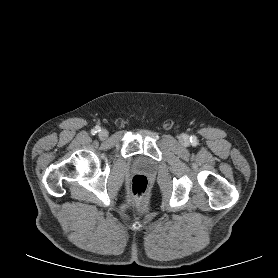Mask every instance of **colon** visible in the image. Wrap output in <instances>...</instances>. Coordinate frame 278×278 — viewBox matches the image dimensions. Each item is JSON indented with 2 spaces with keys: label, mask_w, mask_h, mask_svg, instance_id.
Instances as JSON below:
<instances>
[{
  "label": "colon",
  "mask_w": 278,
  "mask_h": 278,
  "mask_svg": "<svg viewBox=\"0 0 278 278\" xmlns=\"http://www.w3.org/2000/svg\"><path fill=\"white\" fill-rule=\"evenodd\" d=\"M149 191V181L144 175H135L130 184V192L137 201H142Z\"/></svg>",
  "instance_id": "5ec220e1"
}]
</instances>
